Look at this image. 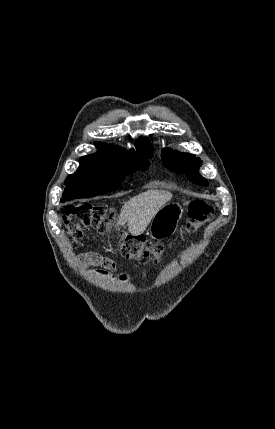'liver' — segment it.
Masks as SVG:
<instances>
[{
    "label": "liver",
    "instance_id": "obj_1",
    "mask_svg": "<svg viewBox=\"0 0 275 429\" xmlns=\"http://www.w3.org/2000/svg\"><path fill=\"white\" fill-rule=\"evenodd\" d=\"M171 198L172 193L164 190H148L138 194L123 205L117 225L123 226L127 222L129 232L138 236Z\"/></svg>",
    "mask_w": 275,
    "mask_h": 429
}]
</instances>
